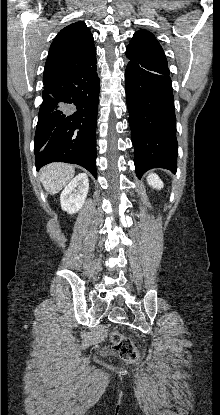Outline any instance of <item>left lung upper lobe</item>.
I'll list each match as a JSON object with an SVG mask.
<instances>
[{
	"mask_svg": "<svg viewBox=\"0 0 220 415\" xmlns=\"http://www.w3.org/2000/svg\"><path fill=\"white\" fill-rule=\"evenodd\" d=\"M126 56L132 61L168 65L161 45L154 35L146 30H139L134 34L127 46Z\"/></svg>",
	"mask_w": 220,
	"mask_h": 415,
	"instance_id": "obj_1",
	"label": "left lung upper lobe"
}]
</instances>
